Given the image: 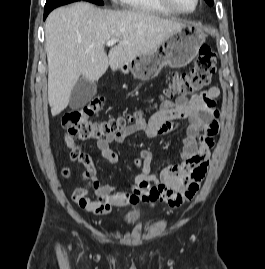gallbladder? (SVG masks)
<instances>
[{
	"label": "gallbladder",
	"instance_id": "bac80fb5",
	"mask_svg": "<svg viewBox=\"0 0 265 269\" xmlns=\"http://www.w3.org/2000/svg\"><path fill=\"white\" fill-rule=\"evenodd\" d=\"M97 86L85 78H80L72 89L69 106L71 109H79L85 106L95 96Z\"/></svg>",
	"mask_w": 265,
	"mask_h": 269
}]
</instances>
